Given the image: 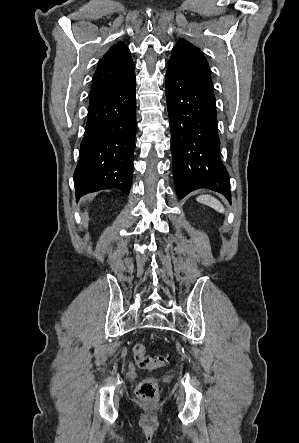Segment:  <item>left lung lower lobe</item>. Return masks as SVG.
<instances>
[{
	"label": "left lung lower lobe",
	"instance_id": "left-lung-lower-lobe-1",
	"mask_svg": "<svg viewBox=\"0 0 299 443\" xmlns=\"http://www.w3.org/2000/svg\"><path fill=\"white\" fill-rule=\"evenodd\" d=\"M165 83L179 198L197 188H208L230 200L229 177L219 157L213 90L169 62Z\"/></svg>",
	"mask_w": 299,
	"mask_h": 443
}]
</instances>
